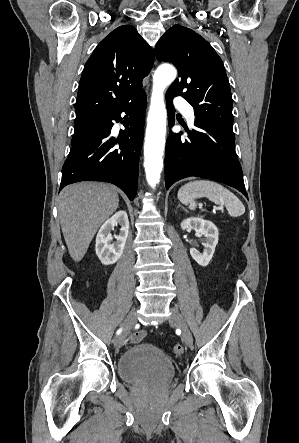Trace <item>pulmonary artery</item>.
Returning a JSON list of instances; mask_svg holds the SVG:
<instances>
[{"label":"pulmonary artery","instance_id":"e3ab8cb5","mask_svg":"<svg viewBox=\"0 0 299 443\" xmlns=\"http://www.w3.org/2000/svg\"><path fill=\"white\" fill-rule=\"evenodd\" d=\"M174 103L176 104L177 108L181 111V113L184 115V117L187 119V121L193 124L195 121V114L192 106L184 98L180 96L175 97Z\"/></svg>","mask_w":299,"mask_h":443}]
</instances>
